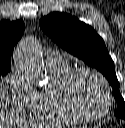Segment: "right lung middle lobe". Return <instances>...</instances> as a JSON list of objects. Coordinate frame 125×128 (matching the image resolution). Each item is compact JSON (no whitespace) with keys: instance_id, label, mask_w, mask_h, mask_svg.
Instances as JSON below:
<instances>
[{"instance_id":"obj_1","label":"right lung middle lobe","mask_w":125,"mask_h":128,"mask_svg":"<svg viewBox=\"0 0 125 128\" xmlns=\"http://www.w3.org/2000/svg\"><path fill=\"white\" fill-rule=\"evenodd\" d=\"M11 70L10 63H0V75H6Z\"/></svg>"}]
</instances>
